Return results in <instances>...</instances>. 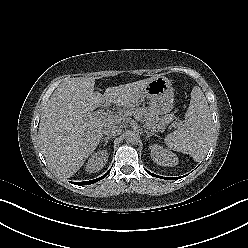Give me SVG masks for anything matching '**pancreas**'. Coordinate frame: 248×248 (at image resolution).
Instances as JSON below:
<instances>
[{
    "label": "pancreas",
    "instance_id": "1",
    "mask_svg": "<svg viewBox=\"0 0 248 248\" xmlns=\"http://www.w3.org/2000/svg\"><path fill=\"white\" fill-rule=\"evenodd\" d=\"M125 113L134 116L135 118L139 117L141 121L145 122L146 127L149 129L156 131L164 129L163 124H157L160 120L159 117L155 113L149 112L144 107L137 108L135 106H129L126 107Z\"/></svg>",
    "mask_w": 248,
    "mask_h": 248
}]
</instances>
